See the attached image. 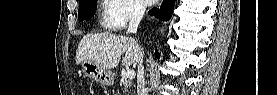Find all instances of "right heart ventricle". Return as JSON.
<instances>
[{"label":"right heart ventricle","instance_id":"obj_1","mask_svg":"<svg viewBox=\"0 0 277 95\" xmlns=\"http://www.w3.org/2000/svg\"><path fill=\"white\" fill-rule=\"evenodd\" d=\"M116 5L112 1L104 0L103 7H102V17H101V24L105 28H109V19H110V11Z\"/></svg>","mask_w":277,"mask_h":95}]
</instances>
